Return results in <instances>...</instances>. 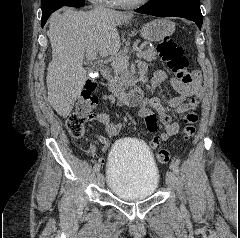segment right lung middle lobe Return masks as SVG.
<instances>
[{
	"label": "right lung middle lobe",
	"instance_id": "right-lung-middle-lobe-1",
	"mask_svg": "<svg viewBox=\"0 0 240 238\" xmlns=\"http://www.w3.org/2000/svg\"><path fill=\"white\" fill-rule=\"evenodd\" d=\"M73 0H42V20L45 21L51 15L52 12L63 7L69 6Z\"/></svg>",
	"mask_w": 240,
	"mask_h": 238
}]
</instances>
